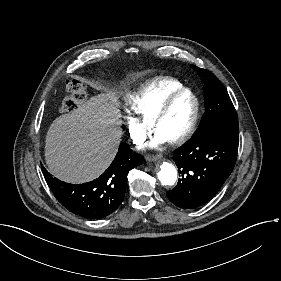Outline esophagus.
Wrapping results in <instances>:
<instances>
[{"mask_svg":"<svg viewBox=\"0 0 281 281\" xmlns=\"http://www.w3.org/2000/svg\"><path fill=\"white\" fill-rule=\"evenodd\" d=\"M146 159L148 161H157L158 159H160V155H147Z\"/></svg>","mask_w":281,"mask_h":281,"instance_id":"34e87169","label":"esophagus"}]
</instances>
